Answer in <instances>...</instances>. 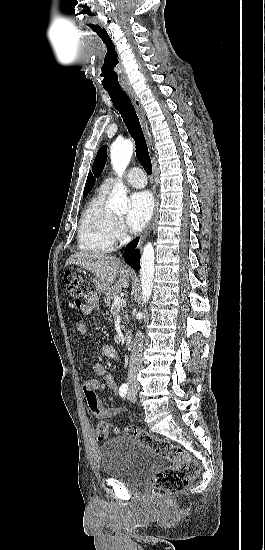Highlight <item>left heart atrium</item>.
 Listing matches in <instances>:
<instances>
[{
    "label": "left heart atrium",
    "mask_w": 265,
    "mask_h": 550,
    "mask_svg": "<svg viewBox=\"0 0 265 550\" xmlns=\"http://www.w3.org/2000/svg\"><path fill=\"white\" fill-rule=\"evenodd\" d=\"M153 213V199L146 191L136 192L130 197V209L126 217L127 226L132 230L142 229Z\"/></svg>",
    "instance_id": "obj_1"
}]
</instances>
